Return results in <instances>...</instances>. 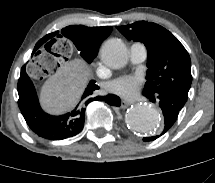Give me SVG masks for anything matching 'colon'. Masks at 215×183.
Instances as JSON below:
<instances>
[{
  "label": "colon",
  "instance_id": "colon-1",
  "mask_svg": "<svg viewBox=\"0 0 215 183\" xmlns=\"http://www.w3.org/2000/svg\"><path fill=\"white\" fill-rule=\"evenodd\" d=\"M73 41L66 34H55L42 48L34 52L28 62V73L35 80H46L56 72L66 70L73 52Z\"/></svg>",
  "mask_w": 215,
  "mask_h": 183
}]
</instances>
